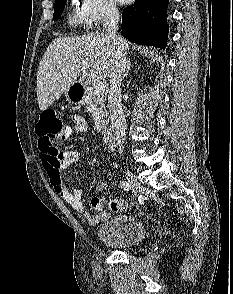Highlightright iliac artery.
<instances>
[{
  "label": "right iliac artery",
  "instance_id": "82829eb1",
  "mask_svg": "<svg viewBox=\"0 0 233 294\" xmlns=\"http://www.w3.org/2000/svg\"><path fill=\"white\" fill-rule=\"evenodd\" d=\"M120 186H121V188H122L123 190H125V191H129V189H130L129 184H128L126 181H121V182H120Z\"/></svg>",
  "mask_w": 233,
  "mask_h": 294
}]
</instances>
